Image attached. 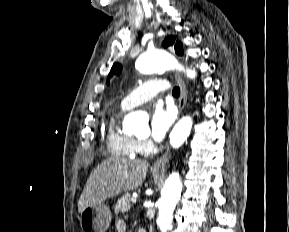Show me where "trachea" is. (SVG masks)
<instances>
[{
    "label": "trachea",
    "mask_w": 289,
    "mask_h": 232,
    "mask_svg": "<svg viewBox=\"0 0 289 232\" xmlns=\"http://www.w3.org/2000/svg\"><path fill=\"white\" fill-rule=\"evenodd\" d=\"M172 94L174 97H179L180 96V88L179 87H174Z\"/></svg>",
    "instance_id": "trachea-1"
}]
</instances>
